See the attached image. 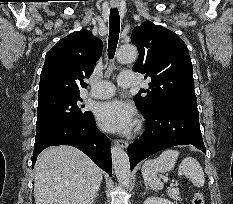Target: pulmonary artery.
<instances>
[{
	"label": "pulmonary artery",
	"mask_w": 233,
	"mask_h": 204,
	"mask_svg": "<svg viewBox=\"0 0 233 204\" xmlns=\"http://www.w3.org/2000/svg\"><path fill=\"white\" fill-rule=\"evenodd\" d=\"M118 85L122 88L131 87L134 84V77L130 73H122L118 77ZM115 93V86L108 81H101L93 84L89 92L92 98L103 99L113 96Z\"/></svg>",
	"instance_id": "pulmonary-artery-1"
}]
</instances>
